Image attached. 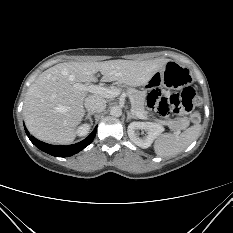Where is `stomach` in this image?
Segmentation results:
<instances>
[{"label": "stomach", "mask_w": 233, "mask_h": 233, "mask_svg": "<svg viewBox=\"0 0 233 233\" xmlns=\"http://www.w3.org/2000/svg\"><path fill=\"white\" fill-rule=\"evenodd\" d=\"M193 80L190 70L174 61H169L163 69L154 74L147 83L143 84L144 90H150L158 85H164L172 89H181L191 84Z\"/></svg>", "instance_id": "obj_1"}]
</instances>
